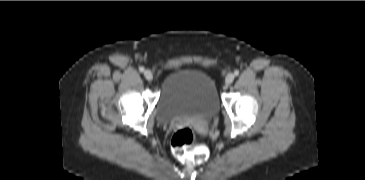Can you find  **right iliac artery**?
Listing matches in <instances>:
<instances>
[{"label":"right iliac artery","mask_w":365,"mask_h":180,"mask_svg":"<svg viewBox=\"0 0 365 180\" xmlns=\"http://www.w3.org/2000/svg\"><path fill=\"white\" fill-rule=\"evenodd\" d=\"M139 71H140V72H144V67H142V66H141V67H139Z\"/></svg>","instance_id":"obj_1"}]
</instances>
